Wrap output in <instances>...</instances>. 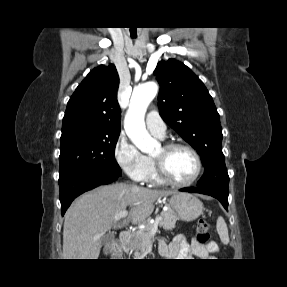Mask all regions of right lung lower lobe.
<instances>
[{
	"label": "right lung lower lobe",
	"mask_w": 287,
	"mask_h": 287,
	"mask_svg": "<svg viewBox=\"0 0 287 287\" xmlns=\"http://www.w3.org/2000/svg\"><path fill=\"white\" fill-rule=\"evenodd\" d=\"M119 176L107 172L80 170L59 177L62 215L77 196L99 185L109 184Z\"/></svg>",
	"instance_id": "right-lung-lower-lobe-1"
}]
</instances>
